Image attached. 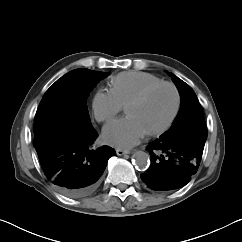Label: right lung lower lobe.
Returning <instances> with one entry per match:
<instances>
[{
  "label": "right lung lower lobe",
  "instance_id": "obj_1",
  "mask_svg": "<svg viewBox=\"0 0 242 242\" xmlns=\"http://www.w3.org/2000/svg\"><path fill=\"white\" fill-rule=\"evenodd\" d=\"M34 147L47 179L64 195L82 198L95 192L108 159L109 146L93 148L98 137L90 125H51L34 132Z\"/></svg>",
  "mask_w": 242,
  "mask_h": 242
}]
</instances>
